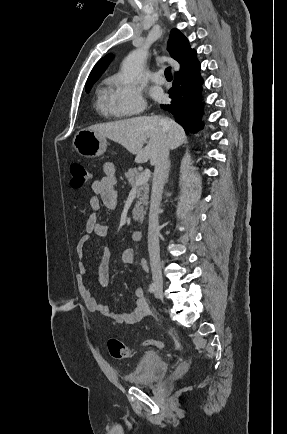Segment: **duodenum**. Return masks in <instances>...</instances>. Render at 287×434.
Returning a JSON list of instances; mask_svg holds the SVG:
<instances>
[{"mask_svg":"<svg viewBox=\"0 0 287 434\" xmlns=\"http://www.w3.org/2000/svg\"><path fill=\"white\" fill-rule=\"evenodd\" d=\"M143 231L141 229H137L132 233V240L139 241L142 239Z\"/></svg>","mask_w":287,"mask_h":434,"instance_id":"410a0bca","label":"duodenum"}]
</instances>
